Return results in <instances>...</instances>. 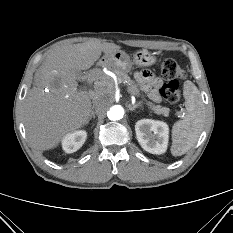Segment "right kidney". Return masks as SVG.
Segmentation results:
<instances>
[{
    "instance_id": "obj_1",
    "label": "right kidney",
    "mask_w": 233,
    "mask_h": 233,
    "mask_svg": "<svg viewBox=\"0 0 233 233\" xmlns=\"http://www.w3.org/2000/svg\"><path fill=\"white\" fill-rule=\"evenodd\" d=\"M86 138L87 133L83 130L69 133L62 140V148L66 153L76 152L82 147Z\"/></svg>"
}]
</instances>
